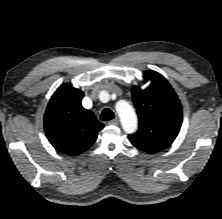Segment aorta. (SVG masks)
<instances>
[{
  "label": "aorta",
  "mask_w": 222,
  "mask_h": 219,
  "mask_svg": "<svg viewBox=\"0 0 222 219\" xmlns=\"http://www.w3.org/2000/svg\"><path fill=\"white\" fill-rule=\"evenodd\" d=\"M116 111L119 115L123 130L128 133H134L137 130V115L132 106L125 100H120L116 104Z\"/></svg>",
  "instance_id": "obj_1"
}]
</instances>
